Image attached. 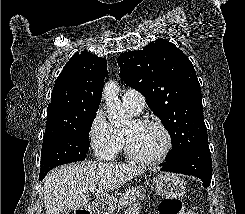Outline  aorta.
I'll use <instances>...</instances> for the list:
<instances>
[{"instance_id": "1", "label": "aorta", "mask_w": 245, "mask_h": 214, "mask_svg": "<svg viewBox=\"0 0 245 214\" xmlns=\"http://www.w3.org/2000/svg\"><path fill=\"white\" fill-rule=\"evenodd\" d=\"M119 86L110 80L103 89V99L105 101V108L107 118L115 127H123L129 121V116L126 114L121 102L118 98Z\"/></svg>"}]
</instances>
